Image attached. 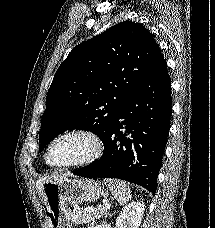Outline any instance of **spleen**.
I'll use <instances>...</instances> for the list:
<instances>
[{
	"mask_svg": "<svg viewBox=\"0 0 215 228\" xmlns=\"http://www.w3.org/2000/svg\"><path fill=\"white\" fill-rule=\"evenodd\" d=\"M103 182L111 190L112 196L117 200L119 206H125L129 202L131 190L126 182H122V180H111V178L109 180H103Z\"/></svg>",
	"mask_w": 215,
	"mask_h": 228,
	"instance_id": "spleen-1",
	"label": "spleen"
}]
</instances>
